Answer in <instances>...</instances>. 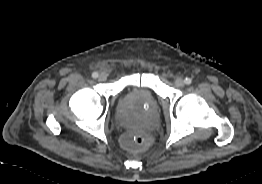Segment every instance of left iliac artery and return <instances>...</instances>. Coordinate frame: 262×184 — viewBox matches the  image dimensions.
<instances>
[{
  "mask_svg": "<svg viewBox=\"0 0 262 184\" xmlns=\"http://www.w3.org/2000/svg\"><path fill=\"white\" fill-rule=\"evenodd\" d=\"M184 82H185V84L189 85V84H191L192 80H191V78L186 77Z\"/></svg>",
  "mask_w": 262,
  "mask_h": 184,
  "instance_id": "left-iliac-artery-1",
  "label": "left iliac artery"
}]
</instances>
